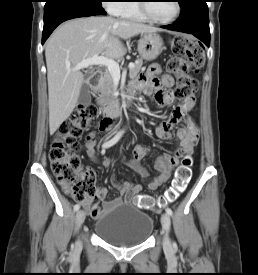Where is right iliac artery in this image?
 <instances>
[{"mask_svg":"<svg viewBox=\"0 0 258 275\" xmlns=\"http://www.w3.org/2000/svg\"><path fill=\"white\" fill-rule=\"evenodd\" d=\"M122 134L123 133L121 131L118 132L111 140H109L108 142H106L103 145V147L104 148H109V147L113 146L114 144H116L119 141V139L121 138ZM79 209H80V204H76L74 206V211H78Z\"/></svg>","mask_w":258,"mask_h":275,"instance_id":"obj_1","label":"right iliac artery"}]
</instances>
